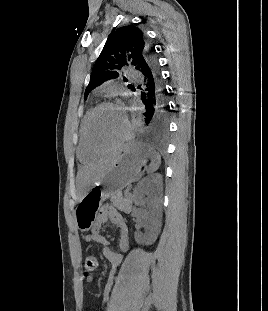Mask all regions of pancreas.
Instances as JSON below:
<instances>
[{
  "label": "pancreas",
  "mask_w": 268,
  "mask_h": 311,
  "mask_svg": "<svg viewBox=\"0 0 268 311\" xmlns=\"http://www.w3.org/2000/svg\"><path fill=\"white\" fill-rule=\"evenodd\" d=\"M110 202L121 212H124L126 214H129L131 212L132 196L130 194L123 196L121 192L116 193L115 195L111 196Z\"/></svg>",
  "instance_id": "obj_1"
}]
</instances>
